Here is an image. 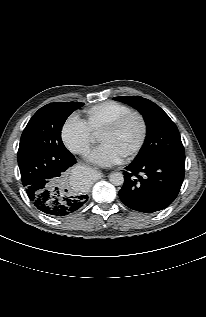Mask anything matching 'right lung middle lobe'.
<instances>
[{"mask_svg":"<svg viewBox=\"0 0 206 317\" xmlns=\"http://www.w3.org/2000/svg\"><path fill=\"white\" fill-rule=\"evenodd\" d=\"M83 105L79 102L47 104L30 119L18 150L23 185L33 177L55 171L59 160L71 154L62 143L61 130L68 116ZM68 169L55 176V184H64Z\"/></svg>","mask_w":206,"mask_h":317,"instance_id":"obj_1","label":"right lung middle lobe"}]
</instances>
